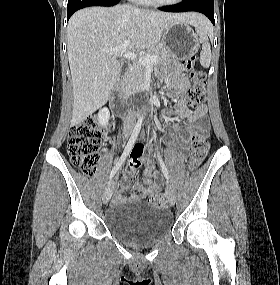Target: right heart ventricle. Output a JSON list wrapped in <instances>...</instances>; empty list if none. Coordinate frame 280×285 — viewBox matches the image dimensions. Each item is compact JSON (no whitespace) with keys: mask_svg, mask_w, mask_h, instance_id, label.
<instances>
[{"mask_svg":"<svg viewBox=\"0 0 280 285\" xmlns=\"http://www.w3.org/2000/svg\"><path fill=\"white\" fill-rule=\"evenodd\" d=\"M138 2L142 3V4H149V0H137Z\"/></svg>","mask_w":280,"mask_h":285,"instance_id":"1","label":"right heart ventricle"}]
</instances>
